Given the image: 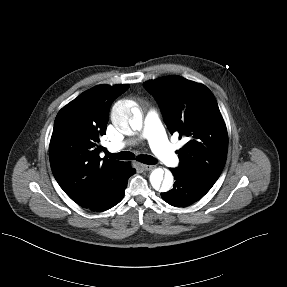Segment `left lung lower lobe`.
<instances>
[{
  "label": "left lung lower lobe",
  "mask_w": 287,
  "mask_h": 287,
  "mask_svg": "<svg viewBox=\"0 0 287 287\" xmlns=\"http://www.w3.org/2000/svg\"><path fill=\"white\" fill-rule=\"evenodd\" d=\"M170 170L175 179L174 187L166 193H161V197L172 206H189L211 189L201 184L187 171L178 168H171Z\"/></svg>",
  "instance_id": "obj_1"
}]
</instances>
